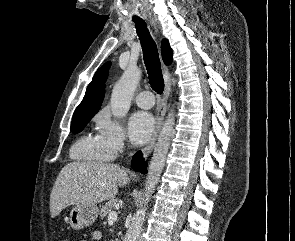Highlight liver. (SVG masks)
Returning <instances> with one entry per match:
<instances>
[{
  "label": "liver",
  "instance_id": "obj_1",
  "mask_svg": "<svg viewBox=\"0 0 295 241\" xmlns=\"http://www.w3.org/2000/svg\"><path fill=\"white\" fill-rule=\"evenodd\" d=\"M130 182L124 168L103 162H71L56 178L50 195V213L54 218L69 205H94L110 200Z\"/></svg>",
  "mask_w": 295,
  "mask_h": 241
}]
</instances>
